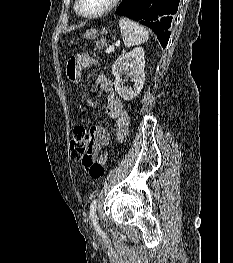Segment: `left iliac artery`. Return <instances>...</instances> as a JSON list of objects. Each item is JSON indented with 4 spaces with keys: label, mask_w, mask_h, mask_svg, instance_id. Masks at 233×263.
<instances>
[{
    "label": "left iliac artery",
    "mask_w": 233,
    "mask_h": 263,
    "mask_svg": "<svg viewBox=\"0 0 233 263\" xmlns=\"http://www.w3.org/2000/svg\"><path fill=\"white\" fill-rule=\"evenodd\" d=\"M96 205H97V201L96 199H94L90 205V218L91 221L95 227V229H99V224H98V217L96 215Z\"/></svg>",
    "instance_id": "1"
}]
</instances>
